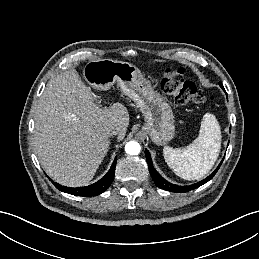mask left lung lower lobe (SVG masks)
Masks as SVG:
<instances>
[{"mask_svg": "<svg viewBox=\"0 0 259 259\" xmlns=\"http://www.w3.org/2000/svg\"><path fill=\"white\" fill-rule=\"evenodd\" d=\"M145 155H146V160L148 163V167H149V172L150 175L152 177V179L154 180V182L156 183V185L158 187H160L161 189L167 190V191H171V192H176V193H184V192H188L190 190L196 189L199 186L205 184L206 182H208L209 180H211L213 178V176L216 174V172L218 171L220 165L216 168V170L210 175L208 176L206 179L196 183V184H192L189 186H178L175 184H172L168 181H166L154 168H153V163L151 160V156L150 153L146 150L145 151Z\"/></svg>", "mask_w": 259, "mask_h": 259, "instance_id": "0a47b994", "label": "left lung lower lobe"}]
</instances>
